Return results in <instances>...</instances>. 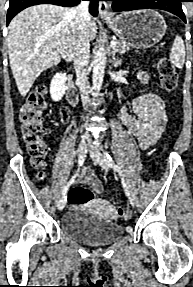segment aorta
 I'll use <instances>...</instances> for the list:
<instances>
[{"label": "aorta", "mask_w": 193, "mask_h": 287, "mask_svg": "<svg viewBox=\"0 0 193 287\" xmlns=\"http://www.w3.org/2000/svg\"><path fill=\"white\" fill-rule=\"evenodd\" d=\"M106 51L103 46L99 48L94 59L92 84L96 92L101 90L104 78V71L106 67Z\"/></svg>", "instance_id": "aorta-1"}]
</instances>
